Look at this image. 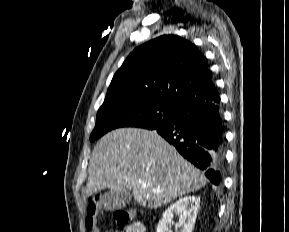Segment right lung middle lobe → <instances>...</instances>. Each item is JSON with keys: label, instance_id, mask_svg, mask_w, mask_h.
<instances>
[{"label": "right lung middle lobe", "instance_id": "1", "mask_svg": "<svg viewBox=\"0 0 289 232\" xmlns=\"http://www.w3.org/2000/svg\"><path fill=\"white\" fill-rule=\"evenodd\" d=\"M177 108L142 96L107 98L97 113L90 141L120 127L155 129L176 117Z\"/></svg>", "mask_w": 289, "mask_h": 232}]
</instances>
